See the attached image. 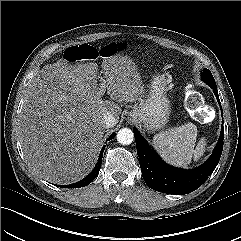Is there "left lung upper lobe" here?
I'll use <instances>...</instances> for the list:
<instances>
[{
	"mask_svg": "<svg viewBox=\"0 0 241 241\" xmlns=\"http://www.w3.org/2000/svg\"><path fill=\"white\" fill-rule=\"evenodd\" d=\"M202 80L207 83L208 85L209 84H214L216 85L215 83V80L212 76V73L210 72V70L204 68L203 71H202Z\"/></svg>",
	"mask_w": 241,
	"mask_h": 241,
	"instance_id": "5c2ea615",
	"label": "left lung upper lobe"
}]
</instances>
